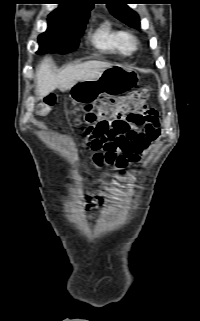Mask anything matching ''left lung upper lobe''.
I'll return each instance as SVG.
<instances>
[{
    "label": "left lung upper lobe",
    "mask_w": 200,
    "mask_h": 321,
    "mask_svg": "<svg viewBox=\"0 0 200 321\" xmlns=\"http://www.w3.org/2000/svg\"><path fill=\"white\" fill-rule=\"evenodd\" d=\"M110 12L127 25L139 28L140 19L138 14L126 5V0H104Z\"/></svg>",
    "instance_id": "left-lung-upper-lobe-1"
}]
</instances>
